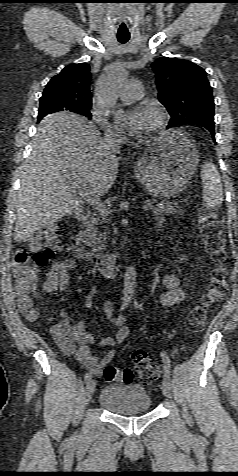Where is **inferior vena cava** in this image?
<instances>
[{
  "instance_id": "1",
  "label": "inferior vena cava",
  "mask_w": 238,
  "mask_h": 476,
  "mask_svg": "<svg viewBox=\"0 0 238 476\" xmlns=\"http://www.w3.org/2000/svg\"><path fill=\"white\" fill-rule=\"evenodd\" d=\"M104 141L106 143L109 154H115L119 151L121 140L115 133H106Z\"/></svg>"
}]
</instances>
